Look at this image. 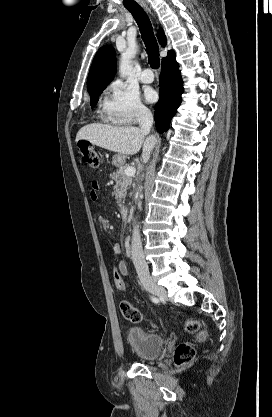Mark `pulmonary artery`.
Wrapping results in <instances>:
<instances>
[{"mask_svg": "<svg viewBox=\"0 0 272 417\" xmlns=\"http://www.w3.org/2000/svg\"><path fill=\"white\" fill-rule=\"evenodd\" d=\"M140 80L143 83H151L154 80V76L153 73L150 69L146 68L142 71V73L140 74Z\"/></svg>", "mask_w": 272, "mask_h": 417, "instance_id": "obj_1", "label": "pulmonary artery"}]
</instances>
